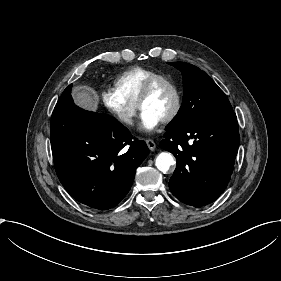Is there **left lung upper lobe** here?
<instances>
[{
    "label": "left lung upper lobe",
    "mask_w": 281,
    "mask_h": 281,
    "mask_svg": "<svg viewBox=\"0 0 281 281\" xmlns=\"http://www.w3.org/2000/svg\"><path fill=\"white\" fill-rule=\"evenodd\" d=\"M168 64L181 71L184 96L179 113L166 130L233 112L224 92L204 71L184 62H168Z\"/></svg>",
    "instance_id": "left-lung-upper-lobe-1"
}]
</instances>
